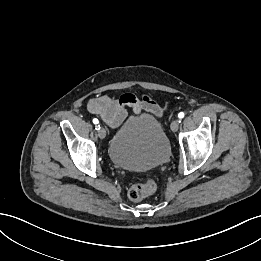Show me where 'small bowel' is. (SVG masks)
I'll return each mask as SVG.
<instances>
[{
    "label": "small bowel",
    "mask_w": 261,
    "mask_h": 261,
    "mask_svg": "<svg viewBox=\"0 0 261 261\" xmlns=\"http://www.w3.org/2000/svg\"><path fill=\"white\" fill-rule=\"evenodd\" d=\"M87 109L90 113L98 115L111 128L119 127L126 120L128 109H132L137 115L145 110L157 117L162 116L164 111L163 107L148 96L138 97L131 93L119 97H94L88 101Z\"/></svg>",
    "instance_id": "obj_1"
}]
</instances>
